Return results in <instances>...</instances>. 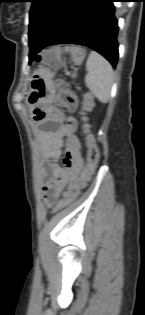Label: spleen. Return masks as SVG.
<instances>
[{
	"mask_svg": "<svg viewBox=\"0 0 145 315\" xmlns=\"http://www.w3.org/2000/svg\"><path fill=\"white\" fill-rule=\"evenodd\" d=\"M85 84L91 93L102 103L110 99L113 84V69L99 53L91 51L86 62Z\"/></svg>",
	"mask_w": 145,
	"mask_h": 315,
	"instance_id": "3e777b00",
	"label": "spleen"
}]
</instances>
